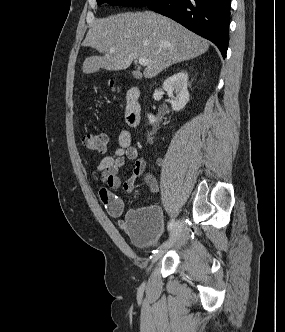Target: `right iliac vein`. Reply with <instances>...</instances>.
<instances>
[{
  "label": "right iliac vein",
  "mask_w": 285,
  "mask_h": 332,
  "mask_svg": "<svg viewBox=\"0 0 285 332\" xmlns=\"http://www.w3.org/2000/svg\"><path fill=\"white\" fill-rule=\"evenodd\" d=\"M181 230H182V223L178 220L171 229L169 241L176 239L179 236ZM159 256H160L159 253L153 256L150 267L157 261ZM150 267L148 268V270L150 269Z\"/></svg>",
  "instance_id": "1"
}]
</instances>
